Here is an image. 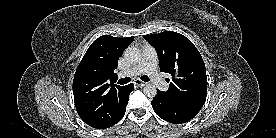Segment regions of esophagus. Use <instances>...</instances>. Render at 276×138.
Listing matches in <instances>:
<instances>
[{
	"mask_svg": "<svg viewBox=\"0 0 276 138\" xmlns=\"http://www.w3.org/2000/svg\"><path fill=\"white\" fill-rule=\"evenodd\" d=\"M134 84L137 85V86H139V87H143V86L146 85L145 82L140 81V80H135V81H134Z\"/></svg>",
	"mask_w": 276,
	"mask_h": 138,
	"instance_id": "obj_1",
	"label": "esophagus"
}]
</instances>
